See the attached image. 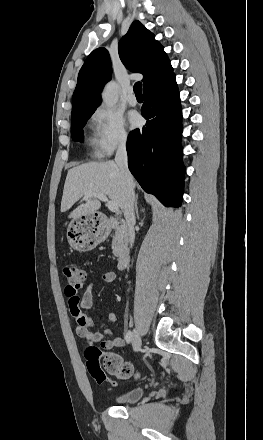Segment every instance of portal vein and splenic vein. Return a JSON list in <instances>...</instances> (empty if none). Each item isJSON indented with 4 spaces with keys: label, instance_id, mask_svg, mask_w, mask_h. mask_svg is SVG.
<instances>
[{
    "label": "portal vein and splenic vein",
    "instance_id": "18ae733b",
    "mask_svg": "<svg viewBox=\"0 0 263 440\" xmlns=\"http://www.w3.org/2000/svg\"><path fill=\"white\" fill-rule=\"evenodd\" d=\"M91 197H96V198H98L99 200L105 202V203H106V206L108 207V209H109L111 212L119 213V206L117 205V203L114 202V201H112V200H109V199L107 198V196L104 195L103 193H93V192H89V193H86V194H85V198H91Z\"/></svg>",
    "mask_w": 263,
    "mask_h": 440
}]
</instances>
